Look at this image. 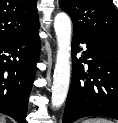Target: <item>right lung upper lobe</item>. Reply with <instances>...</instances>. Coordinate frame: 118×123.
<instances>
[{
  "label": "right lung upper lobe",
  "mask_w": 118,
  "mask_h": 123,
  "mask_svg": "<svg viewBox=\"0 0 118 123\" xmlns=\"http://www.w3.org/2000/svg\"><path fill=\"white\" fill-rule=\"evenodd\" d=\"M37 0H0V43L22 39L39 30Z\"/></svg>",
  "instance_id": "right-lung-upper-lobe-1"
}]
</instances>
